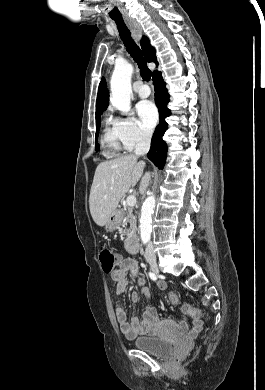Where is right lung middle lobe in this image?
<instances>
[{"label": "right lung middle lobe", "instance_id": "obj_1", "mask_svg": "<svg viewBox=\"0 0 265 390\" xmlns=\"http://www.w3.org/2000/svg\"><path fill=\"white\" fill-rule=\"evenodd\" d=\"M99 129H100V118L96 119V136H95V149L96 151L99 150V145H98V134H99Z\"/></svg>", "mask_w": 265, "mask_h": 390}]
</instances>
